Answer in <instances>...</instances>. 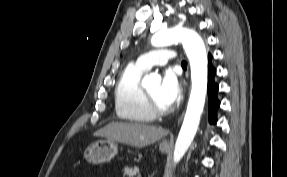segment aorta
Masks as SVG:
<instances>
[{
  "mask_svg": "<svg viewBox=\"0 0 287 177\" xmlns=\"http://www.w3.org/2000/svg\"><path fill=\"white\" fill-rule=\"evenodd\" d=\"M181 42L191 68V93L183 124L178 134L173 161L178 163L191 145L197 132L207 93V52L201 37L193 30L175 27L155 33L151 39L154 47L168 46ZM158 74L146 75L142 86L149 87L160 82Z\"/></svg>",
  "mask_w": 287,
  "mask_h": 177,
  "instance_id": "762f6f07",
  "label": "aorta"
}]
</instances>
